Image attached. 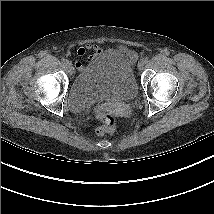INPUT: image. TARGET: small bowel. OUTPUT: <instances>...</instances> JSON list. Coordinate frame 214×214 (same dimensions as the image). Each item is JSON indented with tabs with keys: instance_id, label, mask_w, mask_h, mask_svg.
I'll use <instances>...</instances> for the list:
<instances>
[{
	"instance_id": "obj_1",
	"label": "small bowel",
	"mask_w": 214,
	"mask_h": 214,
	"mask_svg": "<svg viewBox=\"0 0 214 214\" xmlns=\"http://www.w3.org/2000/svg\"><path fill=\"white\" fill-rule=\"evenodd\" d=\"M121 51L125 52L126 49L121 48ZM87 53H89L87 56V60L89 62H94L103 53V50L100 46H98L97 44H93V43H89V44L79 47L76 52L75 67L80 71H82L85 68L82 58Z\"/></svg>"
}]
</instances>
